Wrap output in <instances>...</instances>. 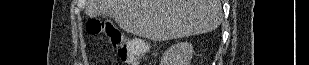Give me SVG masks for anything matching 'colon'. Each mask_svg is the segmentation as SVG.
<instances>
[{
  "instance_id": "obj_1",
  "label": "colon",
  "mask_w": 309,
  "mask_h": 65,
  "mask_svg": "<svg viewBox=\"0 0 309 65\" xmlns=\"http://www.w3.org/2000/svg\"><path fill=\"white\" fill-rule=\"evenodd\" d=\"M86 30L93 36L106 38L116 49L118 57L124 64L134 65L146 53V46L141 39L125 38L107 21L91 19L86 23Z\"/></svg>"
}]
</instances>
